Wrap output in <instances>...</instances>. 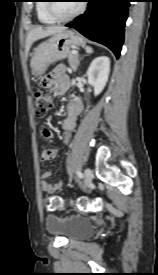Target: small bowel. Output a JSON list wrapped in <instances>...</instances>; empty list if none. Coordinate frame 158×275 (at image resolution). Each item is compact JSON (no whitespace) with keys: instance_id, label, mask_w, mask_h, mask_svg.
<instances>
[{"instance_id":"c3829d8e","label":"small bowel","mask_w":158,"mask_h":275,"mask_svg":"<svg viewBox=\"0 0 158 275\" xmlns=\"http://www.w3.org/2000/svg\"><path fill=\"white\" fill-rule=\"evenodd\" d=\"M48 81L47 88L51 90L53 94H64L69 90L70 87V79L66 74V69L63 65L58 66L54 69L46 78ZM82 111V105L80 101L71 97L67 104V117L62 123L63 135L62 140L65 144H68L72 138V132L76 125V118ZM42 135L45 139H50L52 137V125L47 122L44 123L41 127ZM58 154L57 149H45L42 151L41 159L43 161H49L54 159ZM51 173L45 171L41 174V189L43 192L52 194L59 190L63 181H59L57 183H50L48 181Z\"/></svg>"}]
</instances>
